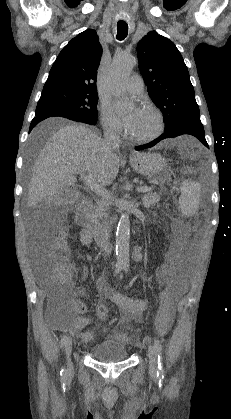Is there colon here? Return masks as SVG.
<instances>
[{
    "label": "colon",
    "mask_w": 231,
    "mask_h": 419,
    "mask_svg": "<svg viewBox=\"0 0 231 419\" xmlns=\"http://www.w3.org/2000/svg\"><path fill=\"white\" fill-rule=\"evenodd\" d=\"M69 258L70 248L67 241L63 237L56 238L49 245L47 250V277L53 287L57 288L61 284L70 281V278L74 273V267ZM175 291L176 286L174 284H168L166 290L160 292L163 304L158 312L156 321V331L160 335H164L167 331L170 315L169 298L172 297V293ZM98 315L102 319H106L108 316L107 308L105 306L100 307L98 309ZM124 340L127 339L124 338Z\"/></svg>",
    "instance_id": "obj_1"
}]
</instances>
